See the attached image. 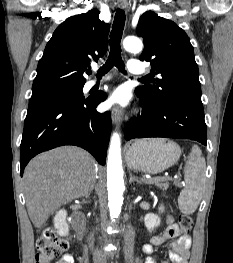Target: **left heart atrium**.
I'll return each instance as SVG.
<instances>
[{
    "mask_svg": "<svg viewBox=\"0 0 233 263\" xmlns=\"http://www.w3.org/2000/svg\"><path fill=\"white\" fill-rule=\"evenodd\" d=\"M128 104V91L125 87H118L115 89L108 100L106 105L108 107H124Z\"/></svg>",
    "mask_w": 233,
    "mask_h": 263,
    "instance_id": "1",
    "label": "left heart atrium"
}]
</instances>
